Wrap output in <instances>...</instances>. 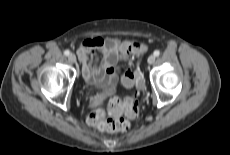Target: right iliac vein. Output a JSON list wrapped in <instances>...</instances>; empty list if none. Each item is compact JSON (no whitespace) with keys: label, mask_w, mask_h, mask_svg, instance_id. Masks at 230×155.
Segmentation results:
<instances>
[{"label":"right iliac vein","mask_w":230,"mask_h":155,"mask_svg":"<svg viewBox=\"0 0 230 155\" xmlns=\"http://www.w3.org/2000/svg\"><path fill=\"white\" fill-rule=\"evenodd\" d=\"M68 61H69L70 63H76V56H75L74 54H70V55L68 56Z\"/></svg>","instance_id":"obj_1"}]
</instances>
